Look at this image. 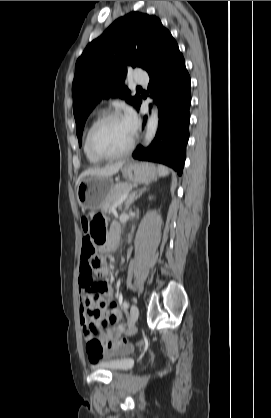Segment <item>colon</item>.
<instances>
[{
    "instance_id": "5ec220e1",
    "label": "colon",
    "mask_w": 271,
    "mask_h": 418,
    "mask_svg": "<svg viewBox=\"0 0 271 418\" xmlns=\"http://www.w3.org/2000/svg\"><path fill=\"white\" fill-rule=\"evenodd\" d=\"M82 227L84 229L86 237L89 238V242L95 243L96 253L97 248L102 247L106 239V227L104 218L102 216H95L91 219L83 218ZM87 271L89 272V261L87 264ZM93 316L95 317V319L98 318L97 314H93ZM99 332L100 328L97 324L94 325L90 330V333L94 336V339L90 342L89 347L93 350H98L101 347L100 343L96 339Z\"/></svg>"
}]
</instances>
